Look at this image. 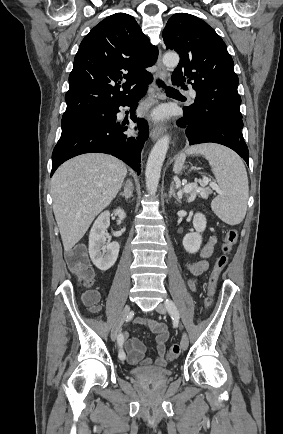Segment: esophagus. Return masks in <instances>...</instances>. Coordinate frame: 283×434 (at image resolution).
<instances>
[{
  "label": "esophagus",
  "instance_id": "esophagus-1",
  "mask_svg": "<svg viewBox=\"0 0 283 434\" xmlns=\"http://www.w3.org/2000/svg\"><path fill=\"white\" fill-rule=\"evenodd\" d=\"M157 75L162 79L165 80L167 77V70L165 69L163 63H162V57H161V53H159L157 62ZM165 131V127L164 126H157L154 127L151 132H150V137L153 141H155L158 137H160Z\"/></svg>",
  "mask_w": 283,
  "mask_h": 434
}]
</instances>
